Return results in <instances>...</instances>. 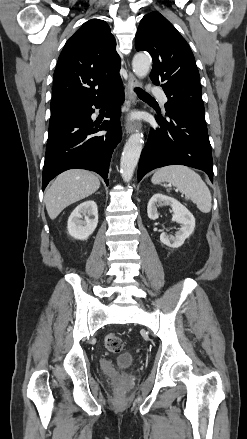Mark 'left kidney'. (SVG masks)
<instances>
[{"label":"left kidney","instance_id":"1","mask_svg":"<svg viewBox=\"0 0 247 439\" xmlns=\"http://www.w3.org/2000/svg\"><path fill=\"white\" fill-rule=\"evenodd\" d=\"M169 205L172 208V220L181 225L175 236L161 233L160 241L172 248H178L183 245L184 241L189 238L195 228V218L193 214L178 200L161 193L154 194L148 202L147 214L151 220H156L159 215L157 209L159 206Z\"/></svg>","mask_w":247,"mask_h":439}]
</instances>
